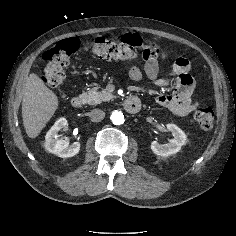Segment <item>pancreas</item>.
I'll list each match as a JSON object with an SVG mask.
<instances>
[{"label":"pancreas","mask_w":236,"mask_h":236,"mask_svg":"<svg viewBox=\"0 0 236 236\" xmlns=\"http://www.w3.org/2000/svg\"><path fill=\"white\" fill-rule=\"evenodd\" d=\"M98 87H94L87 92H83L80 95V98L89 105H97L101 102L112 100L114 97L111 93L102 89L101 91H97Z\"/></svg>","instance_id":"1"}]
</instances>
